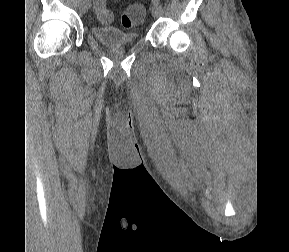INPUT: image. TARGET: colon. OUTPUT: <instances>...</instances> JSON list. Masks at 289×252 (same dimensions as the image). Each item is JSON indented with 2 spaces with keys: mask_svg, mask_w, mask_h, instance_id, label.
<instances>
[{
  "mask_svg": "<svg viewBox=\"0 0 289 252\" xmlns=\"http://www.w3.org/2000/svg\"><path fill=\"white\" fill-rule=\"evenodd\" d=\"M93 8L99 20L110 23L113 20L112 12L107 8L106 0H94ZM145 15V8L140 4L128 6L120 17V23L125 28L139 25Z\"/></svg>",
  "mask_w": 289,
  "mask_h": 252,
  "instance_id": "colon-1",
  "label": "colon"
}]
</instances>
